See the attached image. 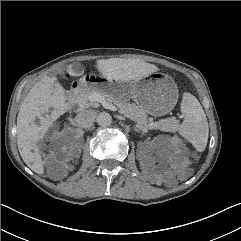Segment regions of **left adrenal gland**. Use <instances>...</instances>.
Instances as JSON below:
<instances>
[{
    "mask_svg": "<svg viewBox=\"0 0 241 241\" xmlns=\"http://www.w3.org/2000/svg\"><path fill=\"white\" fill-rule=\"evenodd\" d=\"M134 130H135V131H139L136 127H134Z\"/></svg>",
    "mask_w": 241,
    "mask_h": 241,
    "instance_id": "1",
    "label": "left adrenal gland"
}]
</instances>
